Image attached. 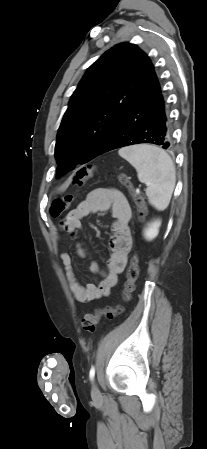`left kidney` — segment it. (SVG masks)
Returning a JSON list of instances; mask_svg holds the SVG:
<instances>
[{"instance_id":"5707ae66","label":"left kidney","mask_w":207,"mask_h":449,"mask_svg":"<svg viewBox=\"0 0 207 449\" xmlns=\"http://www.w3.org/2000/svg\"><path fill=\"white\" fill-rule=\"evenodd\" d=\"M160 225V220H155L154 222L148 224L147 228L144 230V237L147 240H153L154 238H156L159 233Z\"/></svg>"}]
</instances>
